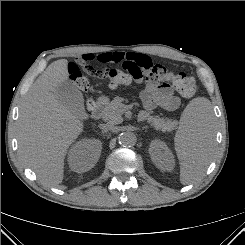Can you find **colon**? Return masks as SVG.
I'll use <instances>...</instances> for the list:
<instances>
[{"label":"colon","instance_id":"1","mask_svg":"<svg viewBox=\"0 0 245 245\" xmlns=\"http://www.w3.org/2000/svg\"><path fill=\"white\" fill-rule=\"evenodd\" d=\"M95 60V55L87 53L78 57L76 62L69 66L70 78L78 89L87 91L90 86L88 79L83 75L81 69L93 77L107 79L112 88L128 84L131 78L140 74L139 68L131 60L122 62L121 68L111 69L94 67L92 62ZM147 79L153 82L165 81L187 98L194 96L197 92V84L193 78L162 64H153L147 73ZM92 107L93 102L88 100L87 108L91 110Z\"/></svg>","mask_w":245,"mask_h":245}]
</instances>
